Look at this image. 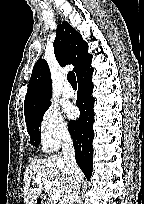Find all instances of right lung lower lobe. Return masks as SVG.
I'll return each instance as SVG.
<instances>
[{"instance_id": "1", "label": "right lung lower lobe", "mask_w": 144, "mask_h": 204, "mask_svg": "<svg viewBox=\"0 0 144 204\" xmlns=\"http://www.w3.org/2000/svg\"><path fill=\"white\" fill-rule=\"evenodd\" d=\"M93 70L92 67H89L77 77L78 94L76 104L80 110V117L77 121H70L68 128L75 147L76 162L87 180H90L93 169V107L95 102L92 97L93 83L91 76Z\"/></svg>"}]
</instances>
